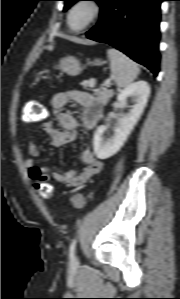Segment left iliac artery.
Masks as SVG:
<instances>
[{
    "instance_id": "1",
    "label": "left iliac artery",
    "mask_w": 180,
    "mask_h": 299,
    "mask_svg": "<svg viewBox=\"0 0 180 299\" xmlns=\"http://www.w3.org/2000/svg\"><path fill=\"white\" fill-rule=\"evenodd\" d=\"M75 246H76V240L74 239L69 247V256L71 259L74 258Z\"/></svg>"
}]
</instances>
